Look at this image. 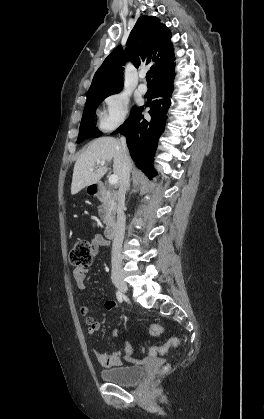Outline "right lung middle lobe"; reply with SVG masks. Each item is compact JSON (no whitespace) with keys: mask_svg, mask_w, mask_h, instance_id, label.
Wrapping results in <instances>:
<instances>
[{"mask_svg":"<svg viewBox=\"0 0 264 419\" xmlns=\"http://www.w3.org/2000/svg\"><path fill=\"white\" fill-rule=\"evenodd\" d=\"M109 95L111 94H101L87 98L80 124V131L77 143L82 142L86 138L99 137L101 135V132L95 126L94 115L98 105Z\"/></svg>","mask_w":264,"mask_h":419,"instance_id":"right-lung-middle-lobe-1","label":"right lung middle lobe"}]
</instances>
